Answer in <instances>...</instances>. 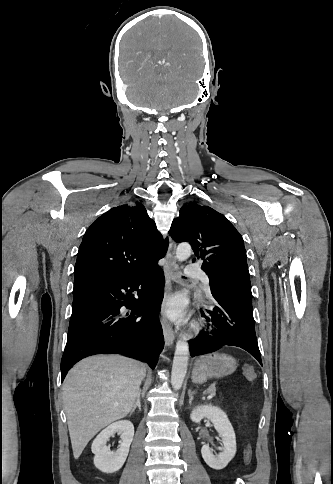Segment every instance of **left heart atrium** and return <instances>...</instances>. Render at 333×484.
Returning <instances> with one entry per match:
<instances>
[{"mask_svg": "<svg viewBox=\"0 0 333 484\" xmlns=\"http://www.w3.org/2000/svg\"><path fill=\"white\" fill-rule=\"evenodd\" d=\"M163 313L173 320L181 319L185 314V304L181 297L174 296L167 300Z\"/></svg>", "mask_w": 333, "mask_h": 484, "instance_id": "39dd6f15", "label": "left heart atrium"}]
</instances>
